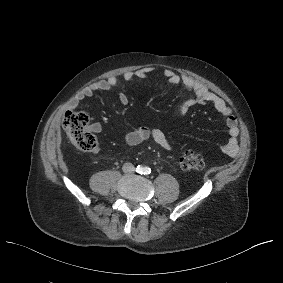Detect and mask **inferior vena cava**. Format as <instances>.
Segmentation results:
<instances>
[{
    "instance_id": "inferior-vena-cava-1",
    "label": "inferior vena cava",
    "mask_w": 283,
    "mask_h": 283,
    "mask_svg": "<svg viewBox=\"0 0 283 283\" xmlns=\"http://www.w3.org/2000/svg\"><path fill=\"white\" fill-rule=\"evenodd\" d=\"M122 170L125 172V173H134L135 171V167L132 163H125L123 164L122 166Z\"/></svg>"
}]
</instances>
